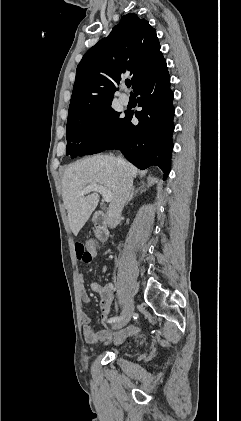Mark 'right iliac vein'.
Masks as SVG:
<instances>
[{"instance_id":"obj_1","label":"right iliac vein","mask_w":241,"mask_h":421,"mask_svg":"<svg viewBox=\"0 0 241 421\" xmlns=\"http://www.w3.org/2000/svg\"><path fill=\"white\" fill-rule=\"evenodd\" d=\"M134 312V301L133 299H130L126 306L125 315L123 318L119 321H117L115 324H113L114 329H119L125 326L130 320Z\"/></svg>"}]
</instances>
